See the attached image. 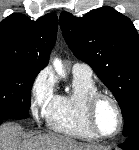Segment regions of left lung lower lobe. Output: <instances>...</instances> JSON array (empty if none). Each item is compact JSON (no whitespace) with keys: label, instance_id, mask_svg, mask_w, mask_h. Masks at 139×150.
<instances>
[{"label":"left lung lower lobe","instance_id":"left-lung-lower-lobe-1","mask_svg":"<svg viewBox=\"0 0 139 150\" xmlns=\"http://www.w3.org/2000/svg\"><path fill=\"white\" fill-rule=\"evenodd\" d=\"M123 150H139V134H133L126 138L125 142L119 145Z\"/></svg>","mask_w":139,"mask_h":150}]
</instances>
